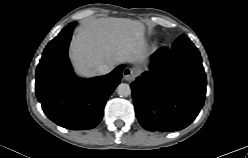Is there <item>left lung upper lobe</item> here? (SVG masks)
<instances>
[{
  "label": "left lung upper lobe",
  "instance_id": "obj_1",
  "mask_svg": "<svg viewBox=\"0 0 248 158\" xmlns=\"http://www.w3.org/2000/svg\"><path fill=\"white\" fill-rule=\"evenodd\" d=\"M178 38L188 39V37H187V36H185V35H181V36H180V37H178Z\"/></svg>",
  "mask_w": 248,
  "mask_h": 158
}]
</instances>
